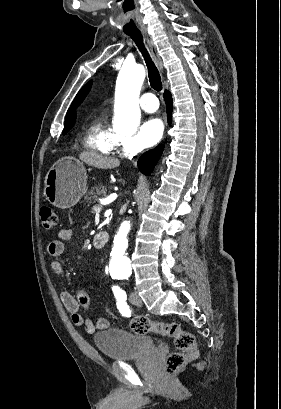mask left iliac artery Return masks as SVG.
Listing matches in <instances>:
<instances>
[{"label": "left iliac artery", "mask_w": 281, "mask_h": 409, "mask_svg": "<svg viewBox=\"0 0 281 409\" xmlns=\"http://www.w3.org/2000/svg\"><path fill=\"white\" fill-rule=\"evenodd\" d=\"M115 298L117 300V308L123 316L129 317L131 310L126 302V293L118 286H113L112 288Z\"/></svg>", "instance_id": "obj_1"}]
</instances>
